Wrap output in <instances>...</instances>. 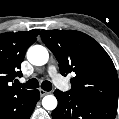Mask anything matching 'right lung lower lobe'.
Wrapping results in <instances>:
<instances>
[{"label": "right lung lower lobe", "mask_w": 119, "mask_h": 119, "mask_svg": "<svg viewBox=\"0 0 119 119\" xmlns=\"http://www.w3.org/2000/svg\"><path fill=\"white\" fill-rule=\"evenodd\" d=\"M39 98L38 90L0 98V119H30Z\"/></svg>", "instance_id": "98d812e1"}]
</instances>
